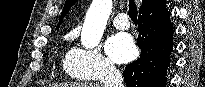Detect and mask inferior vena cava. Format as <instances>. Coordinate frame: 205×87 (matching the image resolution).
<instances>
[{
  "label": "inferior vena cava",
  "mask_w": 205,
  "mask_h": 87,
  "mask_svg": "<svg viewBox=\"0 0 205 87\" xmlns=\"http://www.w3.org/2000/svg\"><path fill=\"white\" fill-rule=\"evenodd\" d=\"M102 82L104 87H123V79L119 70L111 63L103 70Z\"/></svg>",
  "instance_id": "inferior-vena-cava-1"
}]
</instances>
